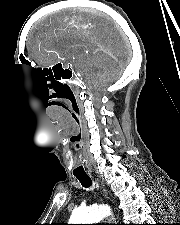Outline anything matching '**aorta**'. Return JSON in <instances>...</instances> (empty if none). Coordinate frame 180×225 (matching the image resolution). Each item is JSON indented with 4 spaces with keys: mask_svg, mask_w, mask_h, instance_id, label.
<instances>
[{
    "mask_svg": "<svg viewBox=\"0 0 180 225\" xmlns=\"http://www.w3.org/2000/svg\"><path fill=\"white\" fill-rule=\"evenodd\" d=\"M109 214L104 206H90L73 210L69 224H94Z\"/></svg>",
    "mask_w": 180,
    "mask_h": 225,
    "instance_id": "1",
    "label": "aorta"
}]
</instances>
